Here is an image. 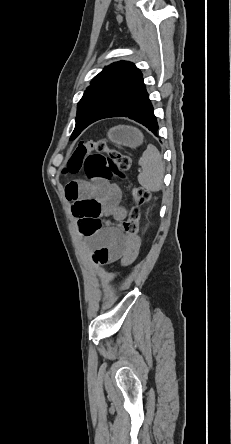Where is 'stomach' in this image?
<instances>
[{"label": "stomach", "instance_id": "stomach-1", "mask_svg": "<svg viewBox=\"0 0 231 444\" xmlns=\"http://www.w3.org/2000/svg\"><path fill=\"white\" fill-rule=\"evenodd\" d=\"M108 138L117 146L136 148L143 142L142 133L130 126H116L108 132Z\"/></svg>", "mask_w": 231, "mask_h": 444}]
</instances>
